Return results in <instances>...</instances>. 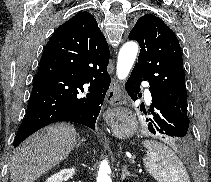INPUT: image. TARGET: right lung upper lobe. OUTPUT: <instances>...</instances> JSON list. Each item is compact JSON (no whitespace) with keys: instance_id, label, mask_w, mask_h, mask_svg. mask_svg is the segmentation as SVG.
<instances>
[{"instance_id":"1","label":"right lung upper lobe","mask_w":211,"mask_h":182,"mask_svg":"<svg viewBox=\"0 0 211 182\" xmlns=\"http://www.w3.org/2000/svg\"><path fill=\"white\" fill-rule=\"evenodd\" d=\"M65 28V31L72 35V39L81 45H103L109 49L107 41L98 27L95 18L88 12H81L61 25L58 29ZM57 29V30H58Z\"/></svg>"}]
</instances>
